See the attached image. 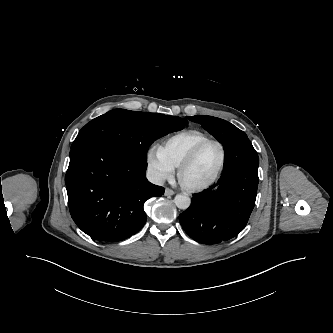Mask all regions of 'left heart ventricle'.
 <instances>
[{
    "label": "left heart ventricle",
    "mask_w": 333,
    "mask_h": 333,
    "mask_svg": "<svg viewBox=\"0 0 333 333\" xmlns=\"http://www.w3.org/2000/svg\"><path fill=\"white\" fill-rule=\"evenodd\" d=\"M220 158L221 153L217 145H206L198 153L193 163L184 171V181L189 184H200L207 181L216 171Z\"/></svg>",
    "instance_id": "left-heart-ventricle-1"
}]
</instances>
